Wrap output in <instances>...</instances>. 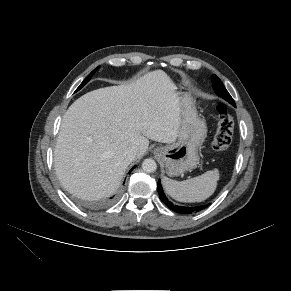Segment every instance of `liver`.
<instances>
[{
	"label": "liver",
	"instance_id": "liver-1",
	"mask_svg": "<svg viewBox=\"0 0 291 291\" xmlns=\"http://www.w3.org/2000/svg\"><path fill=\"white\" fill-rule=\"evenodd\" d=\"M180 114L177 86L162 70L84 94L62 119L54 151L58 179L84 199L114 194L129 164L146 153L149 139L176 141ZM132 146L138 151L130 161L124 153Z\"/></svg>",
	"mask_w": 291,
	"mask_h": 291
}]
</instances>
